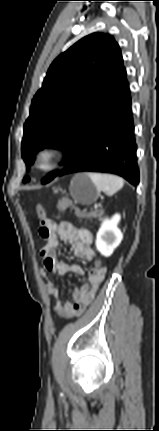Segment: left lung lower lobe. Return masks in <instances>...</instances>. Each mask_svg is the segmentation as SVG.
Segmentation results:
<instances>
[{
  "label": "left lung lower lobe",
  "mask_w": 159,
  "mask_h": 431,
  "mask_svg": "<svg viewBox=\"0 0 159 431\" xmlns=\"http://www.w3.org/2000/svg\"><path fill=\"white\" fill-rule=\"evenodd\" d=\"M137 145L127 80L79 132L65 168L57 173L94 171L122 176L139 184Z\"/></svg>",
  "instance_id": "1"
}]
</instances>
